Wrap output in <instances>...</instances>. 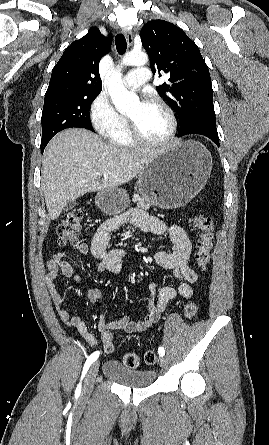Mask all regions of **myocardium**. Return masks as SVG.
<instances>
[{"mask_svg": "<svg viewBox=\"0 0 269 445\" xmlns=\"http://www.w3.org/2000/svg\"><path fill=\"white\" fill-rule=\"evenodd\" d=\"M144 103H153L160 106L167 114L170 121V129L168 134L160 140H150L145 138L139 131L135 121L131 117H127V123L133 139L136 143L150 147H164L168 145L176 136L178 129V121L173 109L161 98L150 97Z\"/></svg>", "mask_w": 269, "mask_h": 445, "instance_id": "1", "label": "myocardium"}]
</instances>
